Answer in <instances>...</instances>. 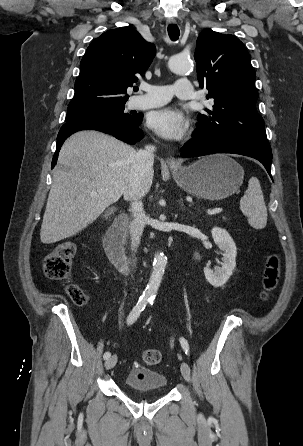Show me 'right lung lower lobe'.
Returning <instances> with one entry per match:
<instances>
[{"label": "right lung lower lobe", "mask_w": 303, "mask_h": 446, "mask_svg": "<svg viewBox=\"0 0 303 446\" xmlns=\"http://www.w3.org/2000/svg\"><path fill=\"white\" fill-rule=\"evenodd\" d=\"M142 119L143 115L138 121L134 123H128L110 117L93 115L67 121L61 127L57 136V146L52 160V168L57 163L58 153L63 142L71 134L80 130H97L113 135L117 139L122 140L126 143L134 144L135 142L143 138V132L139 129V125L142 122Z\"/></svg>", "instance_id": "right-lung-lower-lobe-1"}]
</instances>
